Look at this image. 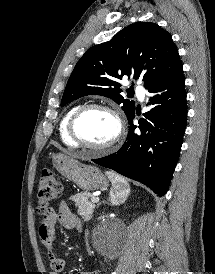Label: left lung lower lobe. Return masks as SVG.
Here are the masks:
<instances>
[{
  "mask_svg": "<svg viewBox=\"0 0 215 274\" xmlns=\"http://www.w3.org/2000/svg\"><path fill=\"white\" fill-rule=\"evenodd\" d=\"M152 108L133 124L122 148L92 161L152 189L163 196L176 167L187 121V101L182 65L164 80L147 88Z\"/></svg>",
  "mask_w": 215,
  "mask_h": 274,
  "instance_id": "left-lung-lower-lobe-1",
  "label": "left lung lower lobe"
}]
</instances>
